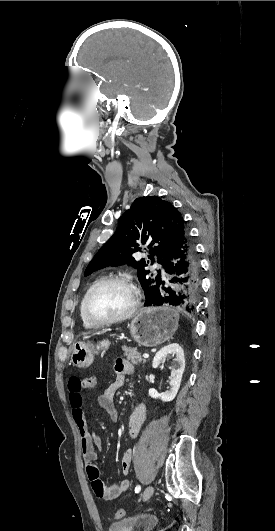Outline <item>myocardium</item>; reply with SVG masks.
Returning a JSON list of instances; mask_svg holds the SVG:
<instances>
[{
	"mask_svg": "<svg viewBox=\"0 0 275 531\" xmlns=\"http://www.w3.org/2000/svg\"><path fill=\"white\" fill-rule=\"evenodd\" d=\"M109 283H122V284L127 285L130 288V290L133 293V300H132V304L130 306V309L125 314H123L121 316H118V317H115V318L105 319V320L94 319L87 312L88 301L91 298V296L99 288H101L102 286H104L106 284H109ZM139 301H140L139 288L135 285V283L131 280V278L129 276H127V275H111V276H107V277L102 278L101 280L96 282L87 291V293L85 294V296H84V298L82 300L81 314H82L83 319L86 322H88L89 324H91L92 326L99 327V326L112 325V324H116V323H119V322H122V321H125V320L129 319L135 313V311L137 310V307L139 305Z\"/></svg>",
	"mask_w": 275,
	"mask_h": 531,
	"instance_id": "f54148a6",
	"label": "myocardium"
}]
</instances>
